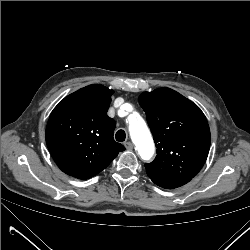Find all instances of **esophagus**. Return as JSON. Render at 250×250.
Segmentation results:
<instances>
[{"mask_svg": "<svg viewBox=\"0 0 250 250\" xmlns=\"http://www.w3.org/2000/svg\"><path fill=\"white\" fill-rule=\"evenodd\" d=\"M125 147H126V149L131 150V149H133V143L130 141L125 142Z\"/></svg>", "mask_w": 250, "mask_h": 250, "instance_id": "1", "label": "esophagus"}]
</instances>
